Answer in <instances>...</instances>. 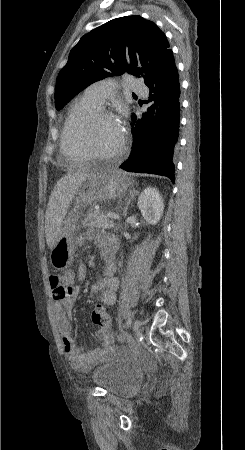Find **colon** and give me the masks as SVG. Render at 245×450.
<instances>
[{"label":"colon","mask_w":245,"mask_h":450,"mask_svg":"<svg viewBox=\"0 0 245 450\" xmlns=\"http://www.w3.org/2000/svg\"><path fill=\"white\" fill-rule=\"evenodd\" d=\"M92 322L99 328L112 332V325L106 309L101 305H95L90 314Z\"/></svg>","instance_id":"obj_1"}]
</instances>
